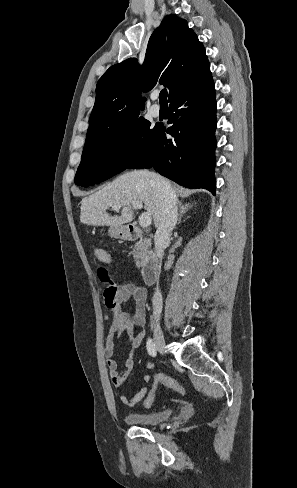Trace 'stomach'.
I'll return each instance as SVG.
<instances>
[{
  "mask_svg": "<svg viewBox=\"0 0 297 488\" xmlns=\"http://www.w3.org/2000/svg\"><path fill=\"white\" fill-rule=\"evenodd\" d=\"M108 232L112 238L127 239L129 237L128 230L125 226L110 227Z\"/></svg>",
  "mask_w": 297,
  "mask_h": 488,
  "instance_id": "0dacf381",
  "label": "stomach"
}]
</instances>
